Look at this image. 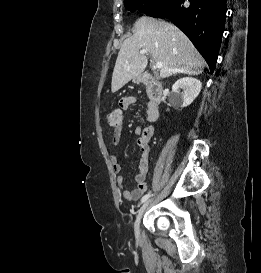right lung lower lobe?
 Returning <instances> with one entry per match:
<instances>
[{"mask_svg": "<svg viewBox=\"0 0 261 273\" xmlns=\"http://www.w3.org/2000/svg\"><path fill=\"white\" fill-rule=\"evenodd\" d=\"M173 0L152 17L167 18L183 31L215 70L226 19V0Z\"/></svg>", "mask_w": 261, "mask_h": 273, "instance_id": "1", "label": "right lung lower lobe"}]
</instances>
